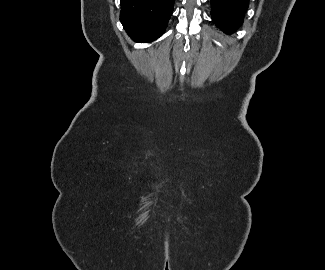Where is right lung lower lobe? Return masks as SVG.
<instances>
[{"label":"right lung lower lobe","instance_id":"98d812e1","mask_svg":"<svg viewBox=\"0 0 325 270\" xmlns=\"http://www.w3.org/2000/svg\"><path fill=\"white\" fill-rule=\"evenodd\" d=\"M175 0H120V21L136 42H150L167 27Z\"/></svg>","mask_w":325,"mask_h":270}]
</instances>
